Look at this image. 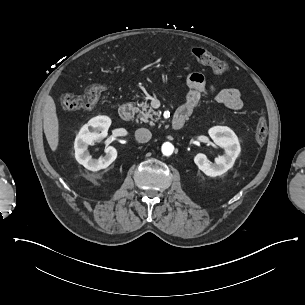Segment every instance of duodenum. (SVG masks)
<instances>
[{
    "instance_id": "410a0bca",
    "label": "duodenum",
    "mask_w": 305,
    "mask_h": 305,
    "mask_svg": "<svg viewBox=\"0 0 305 305\" xmlns=\"http://www.w3.org/2000/svg\"><path fill=\"white\" fill-rule=\"evenodd\" d=\"M119 115L124 121H129L135 115V107L130 103L123 104L119 109ZM185 121L186 115L183 113H176L171 120L175 128H181L185 124Z\"/></svg>"
}]
</instances>
